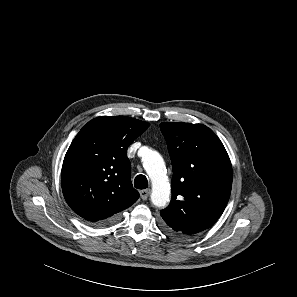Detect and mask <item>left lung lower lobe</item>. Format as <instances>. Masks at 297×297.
<instances>
[{
    "instance_id": "left-lung-lower-lobe-1",
    "label": "left lung lower lobe",
    "mask_w": 297,
    "mask_h": 297,
    "mask_svg": "<svg viewBox=\"0 0 297 297\" xmlns=\"http://www.w3.org/2000/svg\"><path fill=\"white\" fill-rule=\"evenodd\" d=\"M163 229L165 230V232H167L169 235H171L172 237H177V238H180L181 236L175 234L174 232H172L171 230H169L168 228H166L165 226H163Z\"/></svg>"
}]
</instances>
